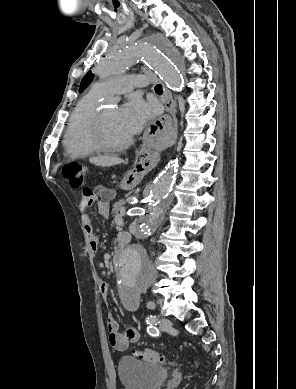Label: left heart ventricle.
<instances>
[{
    "mask_svg": "<svg viewBox=\"0 0 296 389\" xmlns=\"http://www.w3.org/2000/svg\"><path fill=\"white\" fill-rule=\"evenodd\" d=\"M104 134L108 143L119 144L130 138L122 129L119 119L118 110L110 109L103 112Z\"/></svg>",
    "mask_w": 296,
    "mask_h": 389,
    "instance_id": "left-heart-ventricle-1",
    "label": "left heart ventricle"
}]
</instances>
